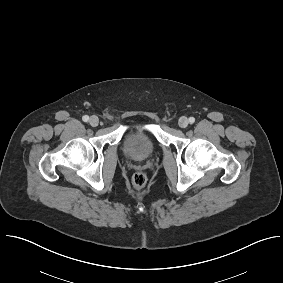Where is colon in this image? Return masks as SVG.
Returning <instances> with one entry per match:
<instances>
[{"label":"colon","instance_id":"obj_1","mask_svg":"<svg viewBox=\"0 0 283 283\" xmlns=\"http://www.w3.org/2000/svg\"><path fill=\"white\" fill-rule=\"evenodd\" d=\"M147 176L143 172H136L132 176V185L135 189H141L146 185Z\"/></svg>","mask_w":283,"mask_h":283}]
</instances>
